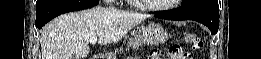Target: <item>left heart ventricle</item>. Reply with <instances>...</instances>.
Here are the masks:
<instances>
[{
  "label": "left heart ventricle",
  "instance_id": "b2bd125f",
  "mask_svg": "<svg viewBox=\"0 0 261 59\" xmlns=\"http://www.w3.org/2000/svg\"><path fill=\"white\" fill-rule=\"evenodd\" d=\"M147 3L151 5H166L172 2V0H152V1H146Z\"/></svg>",
  "mask_w": 261,
  "mask_h": 59
}]
</instances>
